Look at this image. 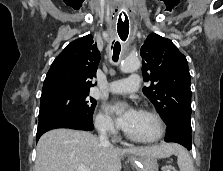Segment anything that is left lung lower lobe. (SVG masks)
<instances>
[{"label":"left lung lower lobe","mask_w":223,"mask_h":171,"mask_svg":"<svg viewBox=\"0 0 223 171\" xmlns=\"http://www.w3.org/2000/svg\"><path fill=\"white\" fill-rule=\"evenodd\" d=\"M165 141L179 143L188 150L192 149L191 125L181 121L171 122L167 125Z\"/></svg>","instance_id":"left-lung-lower-lobe-1"}]
</instances>
